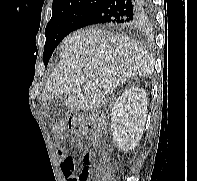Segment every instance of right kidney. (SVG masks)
<instances>
[{
	"mask_svg": "<svg viewBox=\"0 0 197 181\" xmlns=\"http://www.w3.org/2000/svg\"><path fill=\"white\" fill-rule=\"evenodd\" d=\"M146 95L143 88L132 87L117 99L112 108V137L122 151L136 147L142 137L147 118Z\"/></svg>",
	"mask_w": 197,
	"mask_h": 181,
	"instance_id": "obj_1",
	"label": "right kidney"
}]
</instances>
